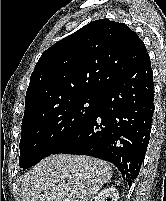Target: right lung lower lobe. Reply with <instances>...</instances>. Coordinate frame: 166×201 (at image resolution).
<instances>
[{"label": "right lung lower lobe", "mask_w": 166, "mask_h": 201, "mask_svg": "<svg viewBox=\"0 0 166 201\" xmlns=\"http://www.w3.org/2000/svg\"><path fill=\"white\" fill-rule=\"evenodd\" d=\"M148 53L98 95L91 118L52 154L88 155L113 163L129 187L146 154L154 112Z\"/></svg>", "instance_id": "right-lung-lower-lobe-1"}]
</instances>
